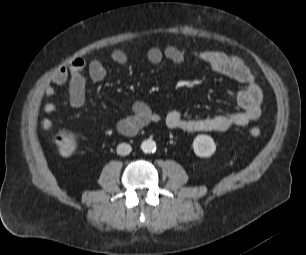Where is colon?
I'll use <instances>...</instances> for the list:
<instances>
[{"mask_svg": "<svg viewBox=\"0 0 306 255\" xmlns=\"http://www.w3.org/2000/svg\"><path fill=\"white\" fill-rule=\"evenodd\" d=\"M261 129L258 127H253L250 129V135L252 137L261 136ZM55 145L63 157H71L74 155L77 149V140L73 133L62 132L55 137Z\"/></svg>", "mask_w": 306, "mask_h": 255, "instance_id": "1", "label": "colon"}]
</instances>
